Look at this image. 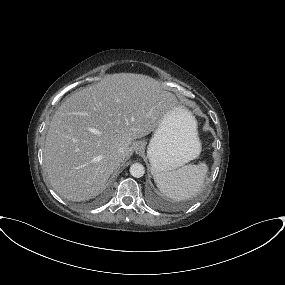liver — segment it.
<instances>
[{"label": "liver", "mask_w": 285, "mask_h": 285, "mask_svg": "<svg viewBox=\"0 0 285 285\" xmlns=\"http://www.w3.org/2000/svg\"><path fill=\"white\" fill-rule=\"evenodd\" d=\"M178 109L170 92L142 74H109L75 92L55 112L46 136L43 159L53 189L71 201L95 197L132 155L134 140Z\"/></svg>", "instance_id": "obj_1"}]
</instances>
